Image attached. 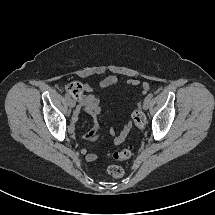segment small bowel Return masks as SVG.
I'll return each instance as SVG.
<instances>
[{"mask_svg": "<svg viewBox=\"0 0 215 215\" xmlns=\"http://www.w3.org/2000/svg\"><path fill=\"white\" fill-rule=\"evenodd\" d=\"M118 79L115 76H107L102 79L99 83L101 88H109L116 85ZM140 81L136 78H130L126 81V85L129 87L138 86ZM83 91L81 95L77 98L78 108L76 109L73 117H72V125L70 130L72 132L75 131L74 123L77 122L79 118L80 110L87 112L94 119L93 128L82 135V138L88 142H95L99 138V117L101 114V99L92 93L93 87L87 83L82 84ZM143 92H147L149 90V84L144 82L142 85ZM131 129V123H127L121 129V131L115 135L114 131H110L111 135H114V144L119 145L124 141L126 136L128 135ZM83 153H86V150H82ZM86 159L88 161H94L97 159V156L94 153L86 154Z\"/></svg>", "mask_w": 215, "mask_h": 215, "instance_id": "1", "label": "small bowel"}]
</instances>
